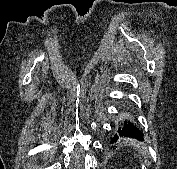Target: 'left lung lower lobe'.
I'll list each match as a JSON object with an SVG mask.
<instances>
[{
	"instance_id": "obj_1",
	"label": "left lung lower lobe",
	"mask_w": 177,
	"mask_h": 169,
	"mask_svg": "<svg viewBox=\"0 0 177 169\" xmlns=\"http://www.w3.org/2000/svg\"><path fill=\"white\" fill-rule=\"evenodd\" d=\"M119 137L135 138L139 141H143V134L139 128L130 120H123L116 127L115 135L111 139V143L118 140Z\"/></svg>"
}]
</instances>
